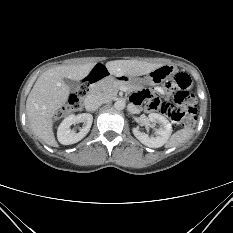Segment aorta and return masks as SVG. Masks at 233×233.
<instances>
[{
	"instance_id": "1",
	"label": "aorta",
	"mask_w": 233,
	"mask_h": 233,
	"mask_svg": "<svg viewBox=\"0 0 233 233\" xmlns=\"http://www.w3.org/2000/svg\"><path fill=\"white\" fill-rule=\"evenodd\" d=\"M126 104H125V101L124 100H117L115 103H114V108L116 110H123L125 108Z\"/></svg>"
}]
</instances>
